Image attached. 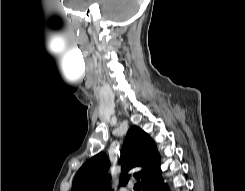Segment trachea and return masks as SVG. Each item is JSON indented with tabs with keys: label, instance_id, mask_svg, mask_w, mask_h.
I'll return each instance as SVG.
<instances>
[{
	"label": "trachea",
	"instance_id": "obj_1",
	"mask_svg": "<svg viewBox=\"0 0 245 191\" xmlns=\"http://www.w3.org/2000/svg\"><path fill=\"white\" fill-rule=\"evenodd\" d=\"M134 191H141V183L139 181L135 184Z\"/></svg>",
	"mask_w": 245,
	"mask_h": 191
}]
</instances>
